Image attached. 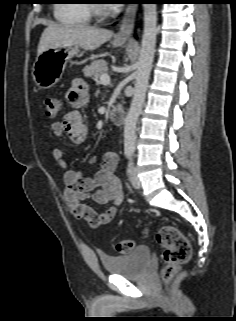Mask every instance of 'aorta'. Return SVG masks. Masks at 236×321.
Returning <instances> with one entry per match:
<instances>
[{"label": "aorta", "mask_w": 236, "mask_h": 321, "mask_svg": "<svg viewBox=\"0 0 236 321\" xmlns=\"http://www.w3.org/2000/svg\"><path fill=\"white\" fill-rule=\"evenodd\" d=\"M143 11L144 29L137 70L135 72L134 95L129 112L124 121V143L125 150L127 151H133L135 149L136 123L142 111L155 54L157 34L156 4H143Z\"/></svg>", "instance_id": "1"}]
</instances>
